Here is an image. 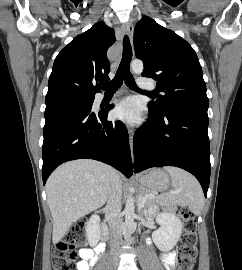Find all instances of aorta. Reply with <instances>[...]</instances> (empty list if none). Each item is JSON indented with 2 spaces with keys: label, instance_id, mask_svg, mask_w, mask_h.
Wrapping results in <instances>:
<instances>
[{
  "label": "aorta",
  "instance_id": "762f6f07",
  "mask_svg": "<svg viewBox=\"0 0 242 270\" xmlns=\"http://www.w3.org/2000/svg\"><path fill=\"white\" fill-rule=\"evenodd\" d=\"M131 69L136 74H141L143 71V62L141 60H133L131 63ZM135 206H134V198L132 194L127 197L126 205H125V234L128 238L131 237L134 228V217H135Z\"/></svg>",
  "mask_w": 242,
  "mask_h": 270
}]
</instances>
